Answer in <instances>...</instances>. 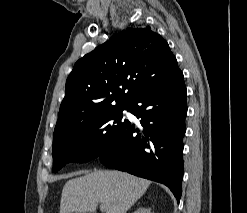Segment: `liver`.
<instances>
[{"label": "liver", "instance_id": "obj_1", "mask_svg": "<svg viewBox=\"0 0 247 213\" xmlns=\"http://www.w3.org/2000/svg\"><path fill=\"white\" fill-rule=\"evenodd\" d=\"M150 181L126 172L98 170L70 179L62 190L60 213H126L145 193Z\"/></svg>", "mask_w": 247, "mask_h": 213}]
</instances>
